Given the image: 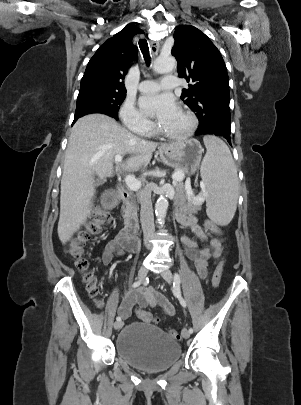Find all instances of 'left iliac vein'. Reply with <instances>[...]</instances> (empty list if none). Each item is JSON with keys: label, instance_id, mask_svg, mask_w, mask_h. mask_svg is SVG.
Masks as SVG:
<instances>
[{"label": "left iliac vein", "instance_id": "left-iliac-vein-1", "mask_svg": "<svg viewBox=\"0 0 301 405\" xmlns=\"http://www.w3.org/2000/svg\"><path fill=\"white\" fill-rule=\"evenodd\" d=\"M161 275L167 283L171 284L173 282V275L169 269H165L164 271H162ZM181 334H182L183 338H185V339L190 337V332L186 328H184L182 330Z\"/></svg>", "mask_w": 301, "mask_h": 405}]
</instances>
